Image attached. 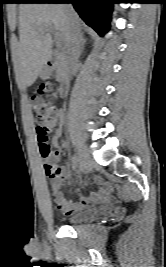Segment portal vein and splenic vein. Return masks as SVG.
<instances>
[{
  "mask_svg": "<svg viewBox=\"0 0 166 267\" xmlns=\"http://www.w3.org/2000/svg\"><path fill=\"white\" fill-rule=\"evenodd\" d=\"M44 32H49V33L54 32L58 45H62V39H61L59 33L55 32V30L52 27H47L46 29H44Z\"/></svg>",
  "mask_w": 166,
  "mask_h": 267,
  "instance_id": "18ae733b",
  "label": "portal vein and splenic vein"
}]
</instances>
